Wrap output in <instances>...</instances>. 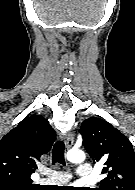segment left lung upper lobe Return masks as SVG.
Returning a JSON list of instances; mask_svg holds the SVG:
<instances>
[{
  "label": "left lung upper lobe",
  "instance_id": "1",
  "mask_svg": "<svg viewBox=\"0 0 135 190\" xmlns=\"http://www.w3.org/2000/svg\"><path fill=\"white\" fill-rule=\"evenodd\" d=\"M79 133L93 161L106 165V177L97 190H135V152L129 139L97 117L84 120Z\"/></svg>",
  "mask_w": 135,
  "mask_h": 190
}]
</instances>
